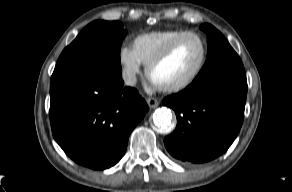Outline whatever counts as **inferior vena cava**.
I'll list each match as a JSON object with an SVG mask.
<instances>
[{"label":"inferior vena cava","instance_id":"602c4592","mask_svg":"<svg viewBox=\"0 0 292 192\" xmlns=\"http://www.w3.org/2000/svg\"><path fill=\"white\" fill-rule=\"evenodd\" d=\"M123 80L126 85L134 86L136 84L137 78L135 74L127 73L123 75Z\"/></svg>","mask_w":292,"mask_h":192}]
</instances>
